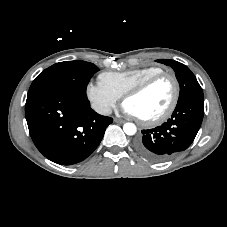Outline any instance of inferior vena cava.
<instances>
[{
	"mask_svg": "<svg viewBox=\"0 0 227 227\" xmlns=\"http://www.w3.org/2000/svg\"><path fill=\"white\" fill-rule=\"evenodd\" d=\"M97 112L101 115H110L112 113V109L109 106H102L97 109Z\"/></svg>",
	"mask_w": 227,
	"mask_h": 227,
	"instance_id": "1",
	"label": "inferior vena cava"
}]
</instances>
